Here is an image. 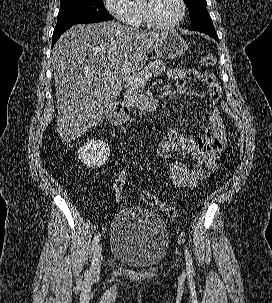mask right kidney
<instances>
[{
  "label": "right kidney",
  "instance_id": "ca27d5eb",
  "mask_svg": "<svg viewBox=\"0 0 272 303\" xmlns=\"http://www.w3.org/2000/svg\"><path fill=\"white\" fill-rule=\"evenodd\" d=\"M110 149L108 144L101 140H88L79 150L78 157L82 163L91 168L101 167L108 159Z\"/></svg>",
  "mask_w": 272,
  "mask_h": 303
}]
</instances>
